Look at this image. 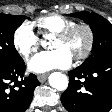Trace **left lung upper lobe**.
<instances>
[{
    "label": "left lung upper lobe",
    "mask_w": 112,
    "mask_h": 112,
    "mask_svg": "<svg viewBox=\"0 0 112 112\" xmlns=\"http://www.w3.org/2000/svg\"><path fill=\"white\" fill-rule=\"evenodd\" d=\"M70 15L89 24L93 32L92 55L81 66L87 67L98 60L112 57V24L94 12H79Z\"/></svg>",
    "instance_id": "left-lung-upper-lobe-1"
}]
</instances>
